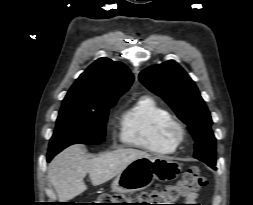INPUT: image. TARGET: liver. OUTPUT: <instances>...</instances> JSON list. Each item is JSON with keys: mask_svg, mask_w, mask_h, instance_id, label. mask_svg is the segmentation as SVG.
Here are the masks:
<instances>
[{"mask_svg": "<svg viewBox=\"0 0 253 205\" xmlns=\"http://www.w3.org/2000/svg\"><path fill=\"white\" fill-rule=\"evenodd\" d=\"M151 157L133 148L118 149L88 159L82 145H72L53 158L48 167V178L59 200L66 202L83 193L87 186L83 179L89 174L93 186L103 184L122 172L138 158Z\"/></svg>", "mask_w": 253, "mask_h": 205, "instance_id": "liver-1", "label": "liver"}]
</instances>
